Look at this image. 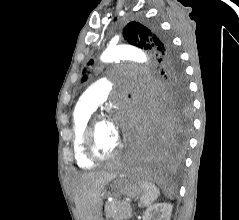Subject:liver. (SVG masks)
I'll return each mask as SVG.
<instances>
[{"label":"liver","instance_id":"6515ba94","mask_svg":"<svg viewBox=\"0 0 239 220\" xmlns=\"http://www.w3.org/2000/svg\"><path fill=\"white\" fill-rule=\"evenodd\" d=\"M117 174L118 171L89 172L73 180L74 200L80 220L99 219L102 207L101 192Z\"/></svg>","mask_w":239,"mask_h":220}]
</instances>
